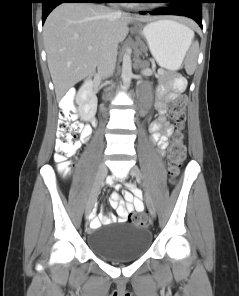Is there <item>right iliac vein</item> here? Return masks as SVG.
Listing matches in <instances>:
<instances>
[{
  "label": "right iliac vein",
  "instance_id": "63e3f726",
  "mask_svg": "<svg viewBox=\"0 0 239 296\" xmlns=\"http://www.w3.org/2000/svg\"><path fill=\"white\" fill-rule=\"evenodd\" d=\"M107 172H108L107 166L105 165V163L102 162L98 167V172H97L95 184H94L93 189L91 191L88 206L86 209V214H89L92 207L94 206L96 199L98 197L99 191H100L101 187L103 186L104 180L107 176Z\"/></svg>",
  "mask_w": 239,
  "mask_h": 296
}]
</instances>
